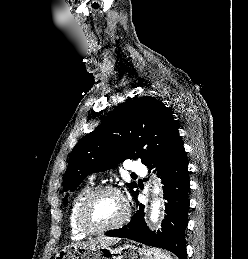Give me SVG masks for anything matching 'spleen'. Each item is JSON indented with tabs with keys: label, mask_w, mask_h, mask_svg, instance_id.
Listing matches in <instances>:
<instances>
[{
	"label": "spleen",
	"mask_w": 248,
	"mask_h": 259,
	"mask_svg": "<svg viewBox=\"0 0 248 259\" xmlns=\"http://www.w3.org/2000/svg\"><path fill=\"white\" fill-rule=\"evenodd\" d=\"M155 259H173V258L167 252H163L160 249H155Z\"/></svg>",
	"instance_id": "obj_1"
}]
</instances>
